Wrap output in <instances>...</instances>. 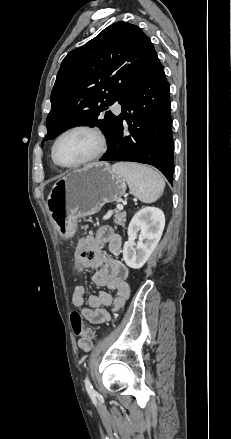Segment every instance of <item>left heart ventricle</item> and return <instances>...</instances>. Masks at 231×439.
I'll return each instance as SVG.
<instances>
[{
  "label": "left heart ventricle",
  "mask_w": 231,
  "mask_h": 439,
  "mask_svg": "<svg viewBox=\"0 0 231 439\" xmlns=\"http://www.w3.org/2000/svg\"><path fill=\"white\" fill-rule=\"evenodd\" d=\"M98 148L96 137L85 131L65 135L58 143L57 157L63 164H74L91 156Z\"/></svg>",
  "instance_id": "left-heart-ventricle-1"
}]
</instances>
